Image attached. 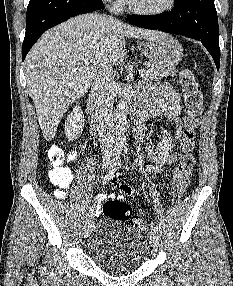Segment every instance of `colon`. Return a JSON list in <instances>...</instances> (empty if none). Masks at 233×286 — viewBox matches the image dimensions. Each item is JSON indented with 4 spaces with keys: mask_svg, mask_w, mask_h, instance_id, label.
<instances>
[{
    "mask_svg": "<svg viewBox=\"0 0 233 286\" xmlns=\"http://www.w3.org/2000/svg\"><path fill=\"white\" fill-rule=\"evenodd\" d=\"M179 82L182 88L186 116L184 136L180 143L181 156L174 169L171 183V195L174 201H179L184 196L192 176L195 166L193 155L195 138L203 105L201 88L192 70L183 69L180 73ZM64 157V152L59 146L51 147L47 155L50 168L49 177L53 183L62 188L68 187L73 180L71 170L63 166ZM102 211L108 218L129 221L135 230L142 232L147 230L144 220L132 215L130 206L120 200L107 199L103 203Z\"/></svg>",
    "mask_w": 233,
    "mask_h": 286,
    "instance_id": "1",
    "label": "colon"
}]
</instances>
